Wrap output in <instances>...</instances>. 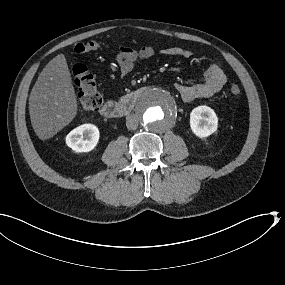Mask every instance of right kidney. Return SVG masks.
Segmentation results:
<instances>
[{"label": "right kidney", "instance_id": "right-kidney-1", "mask_svg": "<svg viewBox=\"0 0 285 285\" xmlns=\"http://www.w3.org/2000/svg\"><path fill=\"white\" fill-rule=\"evenodd\" d=\"M85 138L83 139V135ZM100 132L94 124H83L73 129L66 136V144L77 153H88L95 149L99 142Z\"/></svg>", "mask_w": 285, "mask_h": 285}]
</instances>
